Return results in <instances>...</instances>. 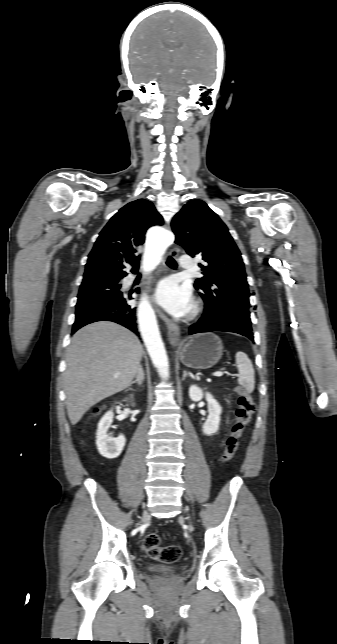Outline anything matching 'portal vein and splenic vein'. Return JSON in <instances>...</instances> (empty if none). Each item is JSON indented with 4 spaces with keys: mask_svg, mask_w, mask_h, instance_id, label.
I'll return each mask as SVG.
<instances>
[{
    "mask_svg": "<svg viewBox=\"0 0 337 644\" xmlns=\"http://www.w3.org/2000/svg\"><path fill=\"white\" fill-rule=\"evenodd\" d=\"M223 374H224V372H222V371H216V372L213 373V376L221 377V376H223Z\"/></svg>",
    "mask_w": 337,
    "mask_h": 644,
    "instance_id": "1",
    "label": "portal vein and splenic vein"
}]
</instances>
